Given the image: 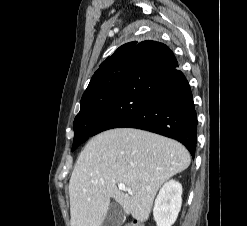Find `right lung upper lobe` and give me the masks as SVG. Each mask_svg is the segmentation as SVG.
<instances>
[{"label":"right lung upper lobe","mask_w":247,"mask_h":226,"mask_svg":"<svg viewBox=\"0 0 247 226\" xmlns=\"http://www.w3.org/2000/svg\"><path fill=\"white\" fill-rule=\"evenodd\" d=\"M137 45V42H130L127 44L122 45L121 47H119L114 54L111 57H108L104 62H102L99 66V69L94 73L88 87L90 85H92V83L95 81V79L103 72V70L115 59L124 56V55H128L130 56L132 53V50L134 49V47ZM87 87V88H88Z\"/></svg>","instance_id":"cb5924a9"}]
</instances>
